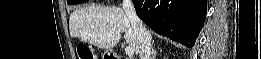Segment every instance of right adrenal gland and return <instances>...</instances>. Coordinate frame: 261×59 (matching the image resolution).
<instances>
[{"mask_svg":"<svg viewBox=\"0 0 261 59\" xmlns=\"http://www.w3.org/2000/svg\"><path fill=\"white\" fill-rule=\"evenodd\" d=\"M157 51L154 49V42L151 44V59H155Z\"/></svg>","mask_w":261,"mask_h":59,"instance_id":"2a0ac1e0","label":"right adrenal gland"}]
</instances>
